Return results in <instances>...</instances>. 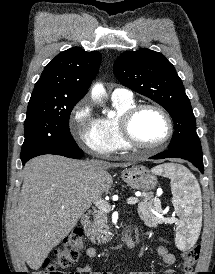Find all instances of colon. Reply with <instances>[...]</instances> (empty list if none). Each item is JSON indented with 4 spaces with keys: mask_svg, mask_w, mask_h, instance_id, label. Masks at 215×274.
<instances>
[{
    "mask_svg": "<svg viewBox=\"0 0 215 274\" xmlns=\"http://www.w3.org/2000/svg\"><path fill=\"white\" fill-rule=\"evenodd\" d=\"M83 248V231L81 228H74L64 238L62 246L56 251L53 260H46L42 269L33 274H73L61 271L67 268L77 258ZM200 247L194 246L182 253L181 261L185 274H193V267L198 260Z\"/></svg>",
    "mask_w": 215,
    "mask_h": 274,
    "instance_id": "colon-1",
    "label": "colon"
}]
</instances>
